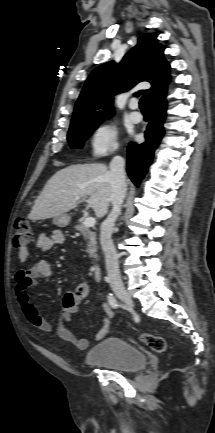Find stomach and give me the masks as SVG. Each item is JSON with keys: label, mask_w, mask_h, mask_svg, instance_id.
<instances>
[{"label": "stomach", "mask_w": 215, "mask_h": 433, "mask_svg": "<svg viewBox=\"0 0 215 433\" xmlns=\"http://www.w3.org/2000/svg\"><path fill=\"white\" fill-rule=\"evenodd\" d=\"M70 220H71L70 216L66 213H63L61 215L54 217L53 222L57 226L65 227L70 223Z\"/></svg>", "instance_id": "stomach-1"}]
</instances>
